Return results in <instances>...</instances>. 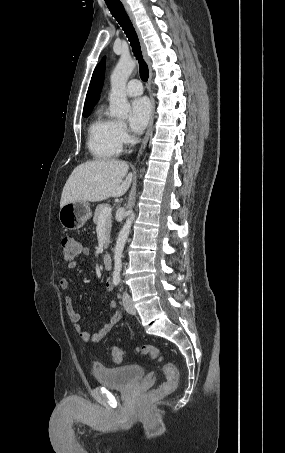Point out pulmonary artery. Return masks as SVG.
Wrapping results in <instances>:
<instances>
[{
    "instance_id": "e3ab8cb5",
    "label": "pulmonary artery",
    "mask_w": 285,
    "mask_h": 453,
    "mask_svg": "<svg viewBox=\"0 0 285 453\" xmlns=\"http://www.w3.org/2000/svg\"><path fill=\"white\" fill-rule=\"evenodd\" d=\"M143 93L142 84L138 79H132L127 83L126 94L130 97H136Z\"/></svg>"
}]
</instances>
